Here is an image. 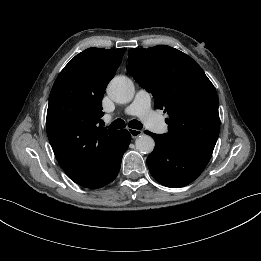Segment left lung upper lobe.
Instances as JSON below:
<instances>
[{
  "label": "left lung upper lobe",
  "instance_id": "1",
  "mask_svg": "<svg viewBox=\"0 0 261 261\" xmlns=\"http://www.w3.org/2000/svg\"><path fill=\"white\" fill-rule=\"evenodd\" d=\"M127 71L153 94L155 107L169 118V140L214 149L220 130L216 90L201 67L185 53L166 45L130 49Z\"/></svg>",
  "mask_w": 261,
  "mask_h": 261
}]
</instances>
